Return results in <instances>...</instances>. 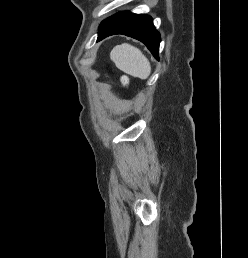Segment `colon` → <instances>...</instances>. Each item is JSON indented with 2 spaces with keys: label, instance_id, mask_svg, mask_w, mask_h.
Wrapping results in <instances>:
<instances>
[{
  "label": "colon",
  "instance_id": "colon-1",
  "mask_svg": "<svg viewBox=\"0 0 248 258\" xmlns=\"http://www.w3.org/2000/svg\"><path fill=\"white\" fill-rule=\"evenodd\" d=\"M121 82L124 86H128L129 84L128 78L126 76L122 77Z\"/></svg>",
  "mask_w": 248,
  "mask_h": 258
}]
</instances>
